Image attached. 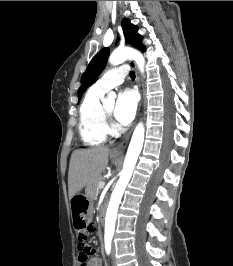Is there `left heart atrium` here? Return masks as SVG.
Instances as JSON below:
<instances>
[{
	"label": "left heart atrium",
	"mask_w": 233,
	"mask_h": 266,
	"mask_svg": "<svg viewBox=\"0 0 233 266\" xmlns=\"http://www.w3.org/2000/svg\"><path fill=\"white\" fill-rule=\"evenodd\" d=\"M138 104V97L131 89H124L120 92L114 116L120 125H128L135 117Z\"/></svg>",
	"instance_id": "39dd6f15"
}]
</instances>
